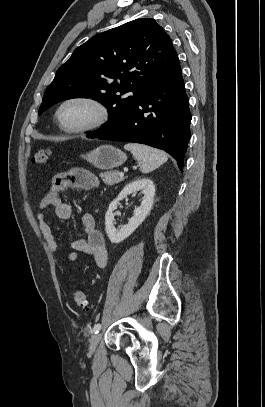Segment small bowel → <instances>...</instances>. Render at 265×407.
Masks as SVG:
<instances>
[{
  "label": "small bowel",
  "mask_w": 265,
  "mask_h": 407,
  "mask_svg": "<svg viewBox=\"0 0 265 407\" xmlns=\"http://www.w3.org/2000/svg\"><path fill=\"white\" fill-rule=\"evenodd\" d=\"M99 186L97 176L85 169L74 168L67 172L55 175L48 187L47 193L42 197L36 218L40 231L48 247L57 251V241L54 232L46 221V212L53 208L58 218L67 220L72 215L71 207L64 201L63 192L70 187L93 190ZM80 228L85 239H77L69 242L71 251L67 261L72 263L78 260L81 253L93 258L99 268H105L108 262V252L103 233L97 227L95 218L86 214L80 219Z\"/></svg>",
  "instance_id": "obj_1"
}]
</instances>
